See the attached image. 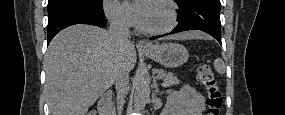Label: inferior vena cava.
Segmentation results:
<instances>
[{
    "label": "inferior vena cava",
    "mask_w": 285,
    "mask_h": 115,
    "mask_svg": "<svg viewBox=\"0 0 285 115\" xmlns=\"http://www.w3.org/2000/svg\"><path fill=\"white\" fill-rule=\"evenodd\" d=\"M108 34L111 40L117 44L124 45L129 40L130 30L129 25L122 18L115 17L111 19ZM113 83L115 84L117 90L118 102L116 105V110L119 114H124L123 109L125 101L128 100L129 90H127V84L129 81L128 71L126 70L123 63H118L113 70L112 75Z\"/></svg>",
    "instance_id": "obj_1"
}]
</instances>
